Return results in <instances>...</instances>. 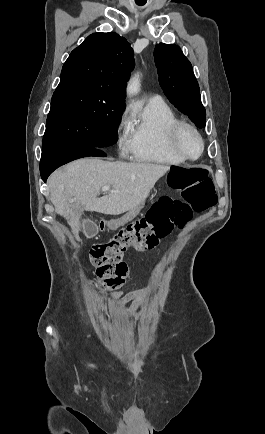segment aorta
<instances>
[{
	"label": "aorta",
	"instance_id": "aorta-1",
	"mask_svg": "<svg viewBox=\"0 0 265 434\" xmlns=\"http://www.w3.org/2000/svg\"><path fill=\"white\" fill-rule=\"evenodd\" d=\"M140 88V74H135V76H133V78L129 80L126 92L128 96H135V94H138V92H140Z\"/></svg>",
	"mask_w": 265,
	"mask_h": 434
}]
</instances>
